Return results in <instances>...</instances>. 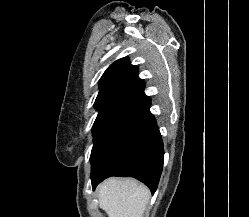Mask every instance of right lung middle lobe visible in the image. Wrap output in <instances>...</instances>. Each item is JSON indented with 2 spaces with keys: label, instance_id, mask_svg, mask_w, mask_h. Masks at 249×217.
<instances>
[{
  "label": "right lung middle lobe",
  "instance_id": "1",
  "mask_svg": "<svg viewBox=\"0 0 249 217\" xmlns=\"http://www.w3.org/2000/svg\"><path fill=\"white\" fill-rule=\"evenodd\" d=\"M120 96H121L120 94H109V95L96 98L94 106L98 110V115L93 125V129H92L93 133L95 132L105 112L114 102H116L120 98Z\"/></svg>",
  "mask_w": 249,
  "mask_h": 217
}]
</instances>
